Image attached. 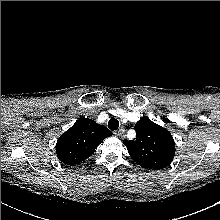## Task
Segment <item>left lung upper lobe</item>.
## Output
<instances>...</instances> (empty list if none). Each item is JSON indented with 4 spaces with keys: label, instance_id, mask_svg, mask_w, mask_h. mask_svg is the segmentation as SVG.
<instances>
[{
    "label": "left lung upper lobe",
    "instance_id": "left-lung-upper-lobe-1",
    "mask_svg": "<svg viewBox=\"0 0 220 220\" xmlns=\"http://www.w3.org/2000/svg\"><path fill=\"white\" fill-rule=\"evenodd\" d=\"M136 138L125 140L130 156L140 166L163 169L173 160L175 143L171 133L149 118H141L135 125Z\"/></svg>",
    "mask_w": 220,
    "mask_h": 220
}]
</instances>
